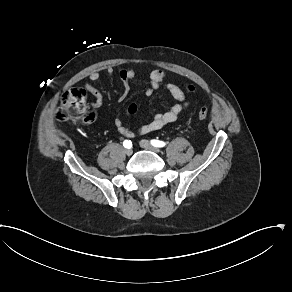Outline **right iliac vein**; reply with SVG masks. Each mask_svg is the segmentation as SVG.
Segmentation results:
<instances>
[{"label":"right iliac vein","mask_w":292,"mask_h":292,"mask_svg":"<svg viewBox=\"0 0 292 292\" xmlns=\"http://www.w3.org/2000/svg\"><path fill=\"white\" fill-rule=\"evenodd\" d=\"M125 153H126V155L130 156V155H132L133 150L131 148H127V149H125Z\"/></svg>","instance_id":"63e3f726"}]
</instances>
